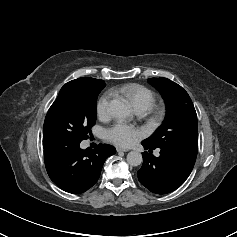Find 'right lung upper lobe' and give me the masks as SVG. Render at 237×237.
<instances>
[{"label":"right lung upper lobe","mask_w":237,"mask_h":237,"mask_svg":"<svg viewBox=\"0 0 237 237\" xmlns=\"http://www.w3.org/2000/svg\"><path fill=\"white\" fill-rule=\"evenodd\" d=\"M80 80L83 81H87V82H96L99 81V79H94V78H90V77H83V78H79Z\"/></svg>","instance_id":"cb5924a9"}]
</instances>
